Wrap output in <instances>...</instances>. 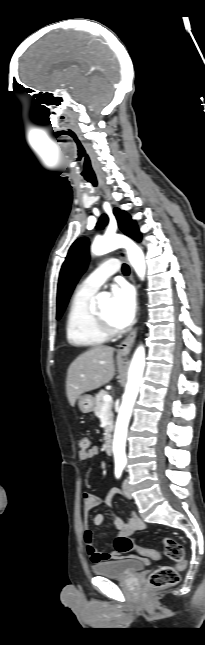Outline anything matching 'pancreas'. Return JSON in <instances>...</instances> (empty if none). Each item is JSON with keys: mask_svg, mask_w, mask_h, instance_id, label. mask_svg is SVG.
I'll return each mask as SVG.
<instances>
[{"mask_svg": "<svg viewBox=\"0 0 205 645\" xmlns=\"http://www.w3.org/2000/svg\"><path fill=\"white\" fill-rule=\"evenodd\" d=\"M107 394L106 391L101 390L95 397V407H94V413L95 415L99 418L100 414L102 412V408L105 405V402L103 400V397ZM107 417H108V426L106 428V433L104 434V440H107L112 432V425H113V412H112V404L110 403L107 407Z\"/></svg>", "mask_w": 205, "mask_h": 645, "instance_id": "1", "label": "pancreas"}]
</instances>
